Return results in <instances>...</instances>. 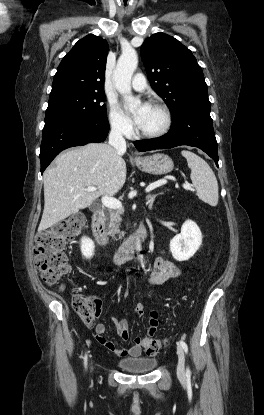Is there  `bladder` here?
Segmentation results:
<instances>
[{
	"label": "bladder",
	"instance_id": "bladder-1",
	"mask_svg": "<svg viewBox=\"0 0 264 415\" xmlns=\"http://www.w3.org/2000/svg\"><path fill=\"white\" fill-rule=\"evenodd\" d=\"M156 359L124 358L118 361V366L130 373H142L153 370L157 366Z\"/></svg>",
	"mask_w": 264,
	"mask_h": 415
}]
</instances>
